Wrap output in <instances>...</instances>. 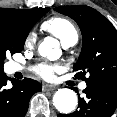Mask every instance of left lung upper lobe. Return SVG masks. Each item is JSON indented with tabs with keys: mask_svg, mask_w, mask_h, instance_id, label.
Listing matches in <instances>:
<instances>
[{
	"mask_svg": "<svg viewBox=\"0 0 117 117\" xmlns=\"http://www.w3.org/2000/svg\"><path fill=\"white\" fill-rule=\"evenodd\" d=\"M54 10L74 19L82 32V51L73 67L77 71L75 77L85 80L86 84H117V31L114 26L89 6H61Z\"/></svg>",
	"mask_w": 117,
	"mask_h": 117,
	"instance_id": "obj_1",
	"label": "left lung upper lobe"
}]
</instances>
